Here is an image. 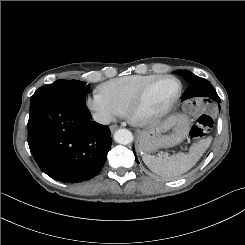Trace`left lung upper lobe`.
Segmentation results:
<instances>
[{"label": "left lung upper lobe", "mask_w": 245, "mask_h": 245, "mask_svg": "<svg viewBox=\"0 0 245 245\" xmlns=\"http://www.w3.org/2000/svg\"><path fill=\"white\" fill-rule=\"evenodd\" d=\"M174 73L184 77L189 82V86L182 96L183 100L195 96L212 98L217 95L214 87L206 79L198 77L188 70H177Z\"/></svg>", "instance_id": "obj_1"}]
</instances>
